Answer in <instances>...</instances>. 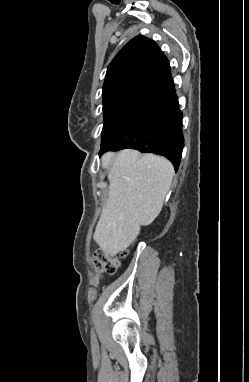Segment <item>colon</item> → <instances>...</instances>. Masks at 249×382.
<instances>
[{"label":"colon","mask_w":249,"mask_h":382,"mask_svg":"<svg viewBox=\"0 0 249 382\" xmlns=\"http://www.w3.org/2000/svg\"><path fill=\"white\" fill-rule=\"evenodd\" d=\"M122 255H124V253H122ZM93 266L98 271L114 274L119 267V258L116 255L98 250L94 253Z\"/></svg>","instance_id":"obj_1"}]
</instances>
